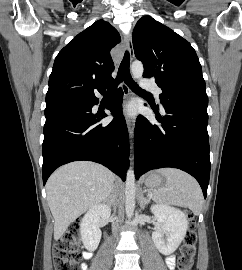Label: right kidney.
Masks as SVG:
<instances>
[{
	"label": "right kidney",
	"mask_w": 242,
	"mask_h": 270,
	"mask_svg": "<svg viewBox=\"0 0 242 270\" xmlns=\"http://www.w3.org/2000/svg\"><path fill=\"white\" fill-rule=\"evenodd\" d=\"M110 213V208L106 204H98L89 209L84 215L80 223L81 240L85 248L89 251H94L101 239V230L99 221L101 218H106Z\"/></svg>",
	"instance_id": "1"
}]
</instances>
